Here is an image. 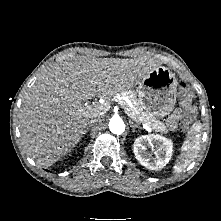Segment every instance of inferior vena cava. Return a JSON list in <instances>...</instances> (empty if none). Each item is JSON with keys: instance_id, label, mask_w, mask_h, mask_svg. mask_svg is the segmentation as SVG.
<instances>
[{"instance_id": "602c4592", "label": "inferior vena cava", "mask_w": 221, "mask_h": 221, "mask_svg": "<svg viewBox=\"0 0 221 221\" xmlns=\"http://www.w3.org/2000/svg\"><path fill=\"white\" fill-rule=\"evenodd\" d=\"M102 121L101 117L99 115L92 117L89 121L88 124H95V123H100Z\"/></svg>"}]
</instances>
